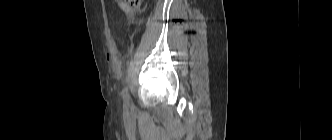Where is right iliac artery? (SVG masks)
<instances>
[{"label": "right iliac artery", "instance_id": "82829eb1", "mask_svg": "<svg viewBox=\"0 0 332 140\" xmlns=\"http://www.w3.org/2000/svg\"><path fill=\"white\" fill-rule=\"evenodd\" d=\"M124 91L126 92L125 100H124V109H127V108H128V105H129V96H128V94H127V88H125Z\"/></svg>", "mask_w": 332, "mask_h": 140}]
</instances>
